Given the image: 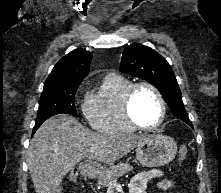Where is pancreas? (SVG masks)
Listing matches in <instances>:
<instances>
[{
    "label": "pancreas",
    "mask_w": 221,
    "mask_h": 193,
    "mask_svg": "<svg viewBox=\"0 0 221 193\" xmlns=\"http://www.w3.org/2000/svg\"><path fill=\"white\" fill-rule=\"evenodd\" d=\"M133 170L128 162H120L117 165L111 166L108 170L100 174L98 179V185L107 187L114 183L119 177Z\"/></svg>",
    "instance_id": "cf45deb5"
}]
</instances>
